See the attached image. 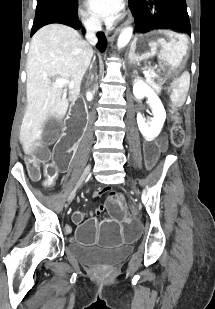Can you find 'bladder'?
<instances>
[{"mask_svg":"<svg viewBox=\"0 0 215 309\" xmlns=\"http://www.w3.org/2000/svg\"><path fill=\"white\" fill-rule=\"evenodd\" d=\"M69 250L80 263L92 267H112L128 255L127 248L98 249L70 245Z\"/></svg>","mask_w":215,"mask_h":309,"instance_id":"obj_1","label":"bladder"}]
</instances>
